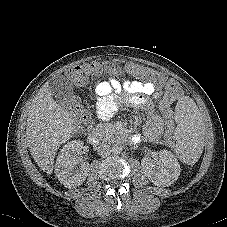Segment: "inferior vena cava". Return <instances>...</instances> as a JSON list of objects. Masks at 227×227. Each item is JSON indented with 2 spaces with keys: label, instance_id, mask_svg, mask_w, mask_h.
Returning a JSON list of instances; mask_svg holds the SVG:
<instances>
[{
  "label": "inferior vena cava",
  "instance_id": "602c4592",
  "mask_svg": "<svg viewBox=\"0 0 227 227\" xmlns=\"http://www.w3.org/2000/svg\"><path fill=\"white\" fill-rule=\"evenodd\" d=\"M98 154L101 156V157H107L108 155H110L111 153V148L108 144L106 143H102L98 146Z\"/></svg>",
  "mask_w": 227,
  "mask_h": 227
}]
</instances>
